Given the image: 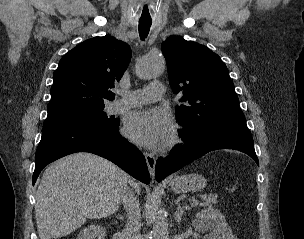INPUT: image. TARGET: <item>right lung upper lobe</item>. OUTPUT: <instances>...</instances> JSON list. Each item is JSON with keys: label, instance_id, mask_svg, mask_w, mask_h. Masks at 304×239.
I'll return each mask as SVG.
<instances>
[{"label": "right lung upper lobe", "instance_id": "1", "mask_svg": "<svg viewBox=\"0 0 304 239\" xmlns=\"http://www.w3.org/2000/svg\"><path fill=\"white\" fill-rule=\"evenodd\" d=\"M131 59L130 47L113 37L88 39L62 57L53 74L48 117L104 106Z\"/></svg>", "mask_w": 304, "mask_h": 239}]
</instances>
